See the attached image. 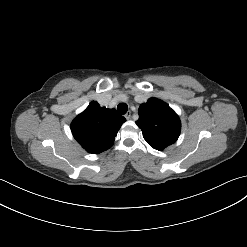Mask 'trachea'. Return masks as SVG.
<instances>
[{"instance_id": "trachea-1", "label": "trachea", "mask_w": 247, "mask_h": 247, "mask_svg": "<svg viewBox=\"0 0 247 247\" xmlns=\"http://www.w3.org/2000/svg\"><path fill=\"white\" fill-rule=\"evenodd\" d=\"M117 110H118L119 113L125 114L127 112V110H128V106L125 103H121V104H119L117 106Z\"/></svg>"}]
</instances>
